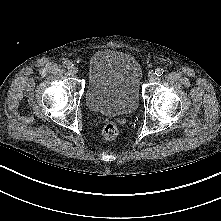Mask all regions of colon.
Returning a JSON list of instances; mask_svg holds the SVG:
<instances>
[{
    "label": "colon",
    "mask_w": 221,
    "mask_h": 221,
    "mask_svg": "<svg viewBox=\"0 0 221 221\" xmlns=\"http://www.w3.org/2000/svg\"><path fill=\"white\" fill-rule=\"evenodd\" d=\"M102 134L105 139L113 140L118 136L119 128L115 123L109 122L104 125L102 129Z\"/></svg>",
    "instance_id": "obj_1"
}]
</instances>
